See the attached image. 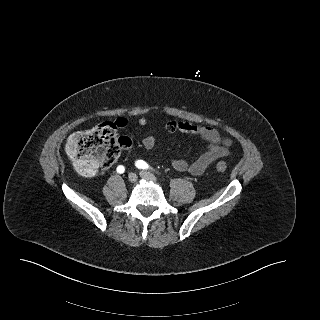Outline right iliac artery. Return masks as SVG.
Returning a JSON list of instances; mask_svg holds the SVG:
<instances>
[{
  "label": "right iliac artery",
  "mask_w": 320,
  "mask_h": 320,
  "mask_svg": "<svg viewBox=\"0 0 320 320\" xmlns=\"http://www.w3.org/2000/svg\"><path fill=\"white\" fill-rule=\"evenodd\" d=\"M124 171H125L124 166L119 165V166L117 167V172H118V173H124Z\"/></svg>",
  "instance_id": "obj_1"
}]
</instances>
